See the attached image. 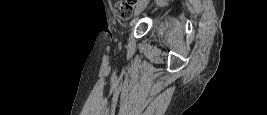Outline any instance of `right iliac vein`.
<instances>
[{
	"mask_svg": "<svg viewBox=\"0 0 267 115\" xmlns=\"http://www.w3.org/2000/svg\"><path fill=\"white\" fill-rule=\"evenodd\" d=\"M145 7H146V3L144 1H141L140 4L135 9V12H134L135 17L138 16Z\"/></svg>",
	"mask_w": 267,
	"mask_h": 115,
	"instance_id": "1",
	"label": "right iliac vein"
}]
</instances>
